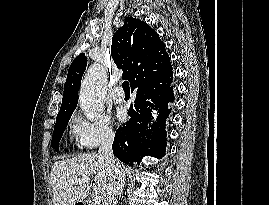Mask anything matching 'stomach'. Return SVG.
Returning <instances> with one entry per match:
<instances>
[{"label": "stomach", "mask_w": 269, "mask_h": 205, "mask_svg": "<svg viewBox=\"0 0 269 205\" xmlns=\"http://www.w3.org/2000/svg\"><path fill=\"white\" fill-rule=\"evenodd\" d=\"M75 205H85V203L81 201V202L75 203Z\"/></svg>", "instance_id": "obj_1"}]
</instances>
